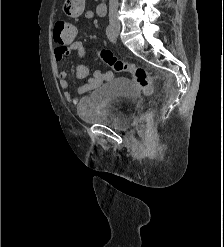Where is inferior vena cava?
Masks as SVG:
<instances>
[{"instance_id":"1","label":"inferior vena cava","mask_w":224,"mask_h":247,"mask_svg":"<svg viewBox=\"0 0 224 247\" xmlns=\"http://www.w3.org/2000/svg\"><path fill=\"white\" fill-rule=\"evenodd\" d=\"M117 10L118 0H109V22L115 26H119Z\"/></svg>"}]
</instances>
